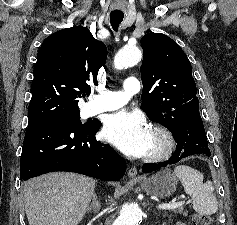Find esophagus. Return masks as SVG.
<instances>
[{"instance_id":"34e87169","label":"esophagus","mask_w":237,"mask_h":225,"mask_svg":"<svg viewBox=\"0 0 237 225\" xmlns=\"http://www.w3.org/2000/svg\"><path fill=\"white\" fill-rule=\"evenodd\" d=\"M137 168L136 167H131L129 170H128V176L130 178H136L137 177Z\"/></svg>"}]
</instances>
